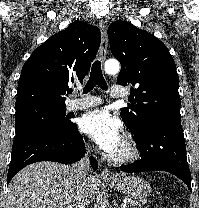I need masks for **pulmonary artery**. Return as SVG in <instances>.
I'll return each mask as SVG.
<instances>
[{"instance_id":"1","label":"pulmonary artery","mask_w":199,"mask_h":208,"mask_svg":"<svg viewBox=\"0 0 199 208\" xmlns=\"http://www.w3.org/2000/svg\"><path fill=\"white\" fill-rule=\"evenodd\" d=\"M127 91L124 88L113 87L111 90V97L113 98H121L126 96ZM102 103V99L100 97L92 96L90 94H83L81 97H77L72 99L67 108L70 111L86 109L98 106Z\"/></svg>"}]
</instances>
